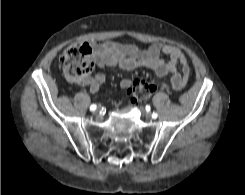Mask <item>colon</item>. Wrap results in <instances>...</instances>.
Returning a JSON list of instances; mask_svg holds the SVG:
<instances>
[{"instance_id": "1", "label": "colon", "mask_w": 245, "mask_h": 195, "mask_svg": "<svg viewBox=\"0 0 245 195\" xmlns=\"http://www.w3.org/2000/svg\"><path fill=\"white\" fill-rule=\"evenodd\" d=\"M91 52L87 45L72 44L61 54L60 61L65 77L73 83H85L93 70ZM156 90V85L144 79L134 82L131 99L135 104L145 102Z\"/></svg>"}]
</instances>
